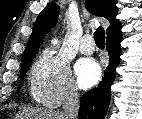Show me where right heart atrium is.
<instances>
[{"instance_id": "obj_1", "label": "right heart atrium", "mask_w": 142, "mask_h": 119, "mask_svg": "<svg viewBox=\"0 0 142 119\" xmlns=\"http://www.w3.org/2000/svg\"><path fill=\"white\" fill-rule=\"evenodd\" d=\"M35 99L47 107H58L77 99L78 90L66 58L57 50L42 52L31 70Z\"/></svg>"}]
</instances>
